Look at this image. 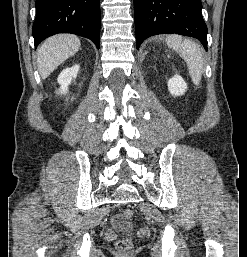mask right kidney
Instances as JSON below:
<instances>
[{"label":"right kidney","instance_id":"right-kidney-1","mask_svg":"<svg viewBox=\"0 0 247 257\" xmlns=\"http://www.w3.org/2000/svg\"><path fill=\"white\" fill-rule=\"evenodd\" d=\"M80 66L74 65L73 67L64 69L58 76V83L61 85L59 92L61 94H67L68 85L71 84L72 80L77 77Z\"/></svg>","mask_w":247,"mask_h":257}]
</instances>
